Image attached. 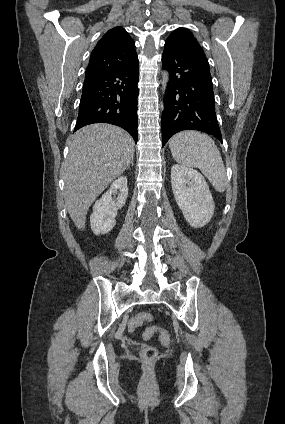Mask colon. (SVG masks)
I'll use <instances>...</instances> for the list:
<instances>
[{
  "mask_svg": "<svg viewBox=\"0 0 285 424\" xmlns=\"http://www.w3.org/2000/svg\"><path fill=\"white\" fill-rule=\"evenodd\" d=\"M151 319V314L148 312H140L138 314H136L129 322L128 325V330L129 331H135L138 327H140L144 322L149 321ZM158 331L157 328L155 327H150L148 329H146L143 333V337L145 339H149L151 338L156 332ZM170 334L167 331H161L160 332V340L165 343L168 344L170 342ZM157 356V351L156 348L151 346V345H145L142 348L141 351V357L142 359L146 360V361H152L156 358Z\"/></svg>",
  "mask_w": 285,
  "mask_h": 424,
  "instance_id": "5ec220e1",
  "label": "colon"
}]
</instances>
